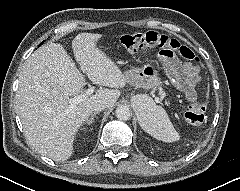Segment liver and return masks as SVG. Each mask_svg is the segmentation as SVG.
<instances>
[{
	"label": "liver",
	"mask_w": 240,
	"mask_h": 191,
	"mask_svg": "<svg viewBox=\"0 0 240 191\" xmlns=\"http://www.w3.org/2000/svg\"><path fill=\"white\" fill-rule=\"evenodd\" d=\"M101 34L80 33L72 41L74 56L87 77L100 88L71 108L69 99L86 84L75 62L60 44L40 47L24 64L16 93V110L31 146L54 161L73 154L79 128L92 115V105L106 101L109 107L119 98L126 80L120 68L96 47ZM85 94V93H84Z\"/></svg>",
	"instance_id": "liver-1"
}]
</instances>
